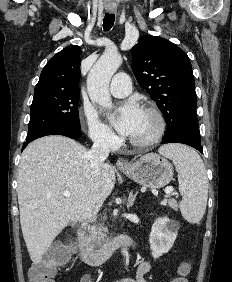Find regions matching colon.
Listing matches in <instances>:
<instances>
[{
  "instance_id": "colon-1",
  "label": "colon",
  "mask_w": 232,
  "mask_h": 282,
  "mask_svg": "<svg viewBox=\"0 0 232 282\" xmlns=\"http://www.w3.org/2000/svg\"><path fill=\"white\" fill-rule=\"evenodd\" d=\"M69 251L64 246H56L50 250L47 257L39 260L32 265L29 271V282H55L57 267L66 263ZM188 272V266L183 264L180 268V276L174 278L171 282H188L185 275Z\"/></svg>"
}]
</instances>
